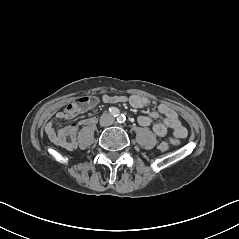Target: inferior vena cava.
<instances>
[{"instance_id":"inferior-vena-cava-1","label":"inferior vena cava","mask_w":239,"mask_h":239,"mask_svg":"<svg viewBox=\"0 0 239 239\" xmlns=\"http://www.w3.org/2000/svg\"><path fill=\"white\" fill-rule=\"evenodd\" d=\"M114 123V118L112 115L108 114V113H105V114H102L101 117H100V124L102 126H110Z\"/></svg>"}]
</instances>
